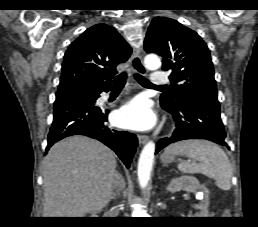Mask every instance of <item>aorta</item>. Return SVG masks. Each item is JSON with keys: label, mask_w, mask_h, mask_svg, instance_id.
Wrapping results in <instances>:
<instances>
[{"label": "aorta", "mask_w": 258, "mask_h": 227, "mask_svg": "<svg viewBox=\"0 0 258 227\" xmlns=\"http://www.w3.org/2000/svg\"><path fill=\"white\" fill-rule=\"evenodd\" d=\"M144 64L148 69L156 70L160 68L161 61L158 56L149 54L145 57ZM154 153L155 144L152 141L148 142L141 151L137 168L138 181L141 188H145L149 182L154 161Z\"/></svg>", "instance_id": "1"}]
</instances>
